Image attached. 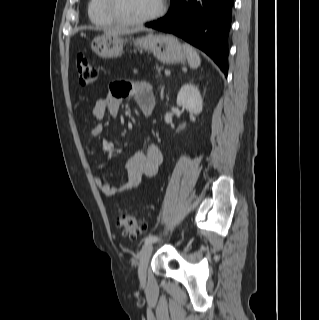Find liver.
Segmentation results:
<instances>
[{
  "label": "liver",
  "instance_id": "6515ba94",
  "mask_svg": "<svg viewBox=\"0 0 319 320\" xmlns=\"http://www.w3.org/2000/svg\"><path fill=\"white\" fill-rule=\"evenodd\" d=\"M140 30H143V29L142 28L128 29V28L117 27V28L106 29L105 33L109 35H121V34L135 33Z\"/></svg>",
  "mask_w": 319,
  "mask_h": 320
}]
</instances>
